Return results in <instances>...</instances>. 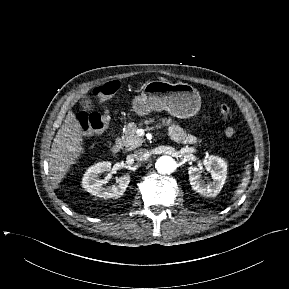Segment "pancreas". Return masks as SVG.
<instances>
[{"label":"pancreas","mask_w":289,"mask_h":289,"mask_svg":"<svg viewBox=\"0 0 289 289\" xmlns=\"http://www.w3.org/2000/svg\"><path fill=\"white\" fill-rule=\"evenodd\" d=\"M152 120L148 121L146 120L144 123L148 124ZM162 123L164 125L169 126L168 127V136L171 138V140L182 143V144H195L198 142V139L191 135L187 134L179 125H176L172 123V120L169 118H163ZM143 123H140L139 126H141ZM138 129L137 124L131 122L125 126L124 133L122 135V144L127 148V150H133L139 146L142 145L143 138L139 137L136 134V131Z\"/></svg>","instance_id":"obj_1"}]
</instances>
